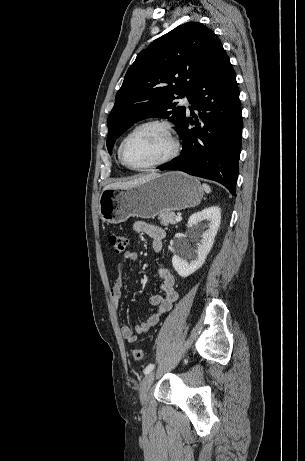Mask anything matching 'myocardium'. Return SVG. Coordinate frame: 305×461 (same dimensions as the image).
Returning <instances> with one entry per match:
<instances>
[{
  "label": "myocardium",
  "mask_w": 305,
  "mask_h": 461,
  "mask_svg": "<svg viewBox=\"0 0 305 461\" xmlns=\"http://www.w3.org/2000/svg\"><path fill=\"white\" fill-rule=\"evenodd\" d=\"M148 127L161 128L167 134V136L169 137V139L171 141V150L165 157H163L162 159H160L158 161H155V162L147 164V165H141V166L134 165V164L130 163L128 161L127 157H126V152H125L126 144H127L128 140L134 134H136L138 131H140V130H142L144 128H148ZM179 151H180V143H179V140H178V138L176 136V133H175L173 127L171 126V124L168 123L167 121L156 120V119L155 120L145 121L143 123H140L136 127H134L124 137V139L122 140V142L120 144V147H119L120 158H121L123 164L126 165L130 169L138 170V171H146V170H151V169L163 166V165L167 164L168 162L172 161L175 157H177V155L179 154Z\"/></svg>",
  "instance_id": "obj_1"
}]
</instances>
